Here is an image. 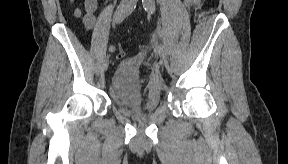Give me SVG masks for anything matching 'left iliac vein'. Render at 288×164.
<instances>
[{
    "instance_id": "left-iliac-vein-1",
    "label": "left iliac vein",
    "mask_w": 288,
    "mask_h": 164,
    "mask_svg": "<svg viewBox=\"0 0 288 164\" xmlns=\"http://www.w3.org/2000/svg\"><path fill=\"white\" fill-rule=\"evenodd\" d=\"M161 63L165 64L166 63V58H165V54H162V59H161Z\"/></svg>"
}]
</instances>
